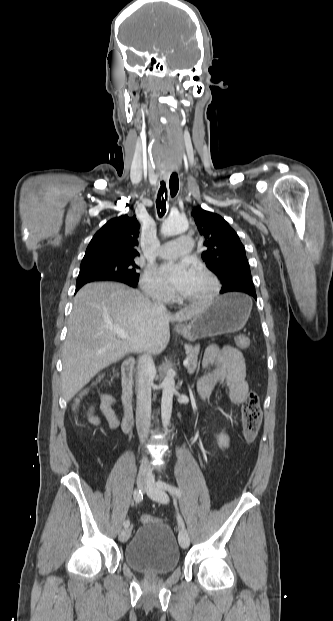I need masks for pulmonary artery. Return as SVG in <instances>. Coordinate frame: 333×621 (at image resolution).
Instances as JSON below:
<instances>
[{"label": "pulmonary artery", "instance_id": "e3ab8cb5", "mask_svg": "<svg viewBox=\"0 0 333 621\" xmlns=\"http://www.w3.org/2000/svg\"><path fill=\"white\" fill-rule=\"evenodd\" d=\"M192 248V238L182 235L176 240L163 243L159 247L157 254L161 258H175L190 253Z\"/></svg>", "mask_w": 333, "mask_h": 621}]
</instances>
